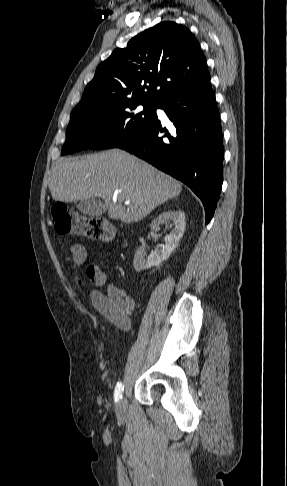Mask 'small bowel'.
<instances>
[{
  "instance_id": "c3829d8e",
  "label": "small bowel",
  "mask_w": 287,
  "mask_h": 486,
  "mask_svg": "<svg viewBox=\"0 0 287 486\" xmlns=\"http://www.w3.org/2000/svg\"><path fill=\"white\" fill-rule=\"evenodd\" d=\"M70 253L73 263L76 266H82L87 259V249L82 244H73L70 246ZM105 293L93 289L90 291V300L95 309L109 322L121 330L130 329V316L133 314L136 303L133 297L115 282L103 276Z\"/></svg>"
}]
</instances>
